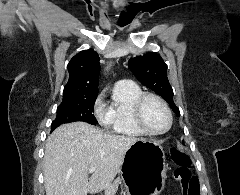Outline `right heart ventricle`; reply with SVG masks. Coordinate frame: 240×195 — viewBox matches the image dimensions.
I'll return each instance as SVG.
<instances>
[{
    "label": "right heart ventricle",
    "mask_w": 240,
    "mask_h": 195,
    "mask_svg": "<svg viewBox=\"0 0 240 195\" xmlns=\"http://www.w3.org/2000/svg\"><path fill=\"white\" fill-rule=\"evenodd\" d=\"M141 93L139 85L131 81H120L115 85L108 107L109 116L103 121L107 131H114V136L119 137L145 135L134 116L135 100Z\"/></svg>",
    "instance_id": "e07e8e85"
}]
</instances>
